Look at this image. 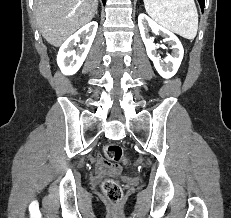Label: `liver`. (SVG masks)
I'll return each mask as SVG.
<instances>
[{
    "label": "liver",
    "instance_id": "obj_1",
    "mask_svg": "<svg viewBox=\"0 0 231 218\" xmlns=\"http://www.w3.org/2000/svg\"><path fill=\"white\" fill-rule=\"evenodd\" d=\"M98 0H35L38 28L48 43L59 47L94 17Z\"/></svg>",
    "mask_w": 231,
    "mask_h": 218
}]
</instances>
